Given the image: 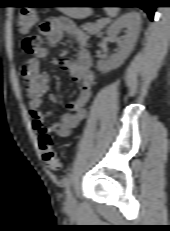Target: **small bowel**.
<instances>
[{"label": "small bowel", "instance_id": "obj_1", "mask_svg": "<svg viewBox=\"0 0 170 231\" xmlns=\"http://www.w3.org/2000/svg\"><path fill=\"white\" fill-rule=\"evenodd\" d=\"M70 37L77 47V57L73 60H64L61 67L79 85L76 99L68 105V111L53 124L45 125L46 114L40 107L44 96L49 91V76L41 70V62L48 57L49 48L60 43L64 37ZM39 46L33 57L22 67L23 83L29 98V113L32 118V127L39 134L53 133L60 138L68 137L72 130L87 114L86 105L90 100L92 86L95 81L91 70V57L87 49V35L80 30L70 19L64 17L50 18L39 25ZM50 102L55 103L57 98L49 94Z\"/></svg>", "mask_w": 170, "mask_h": 231}]
</instances>
